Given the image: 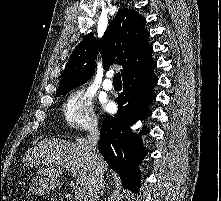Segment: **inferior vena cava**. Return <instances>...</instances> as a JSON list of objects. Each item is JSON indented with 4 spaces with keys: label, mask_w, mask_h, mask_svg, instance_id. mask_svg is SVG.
<instances>
[{
    "label": "inferior vena cava",
    "mask_w": 221,
    "mask_h": 201,
    "mask_svg": "<svg viewBox=\"0 0 221 201\" xmlns=\"http://www.w3.org/2000/svg\"><path fill=\"white\" fill-rule=\"evenodd\" d=\"M88 149L92 174L88 186V201H99L101 189L103 187V171L100 165V158L97 150L99 140L98 121L94 120L88 127Z\"/></svg>",
    "instance_id": "602c4592"
}]
</instances>
